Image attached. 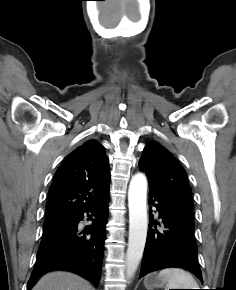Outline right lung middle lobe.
Masks as SVG:
<instances>
[{
	"instance_id": "1",
	"label": "right lung middle lobe",
	"mask_w": 236,
	"mask_h": 290,
	"mask_svg": "<svg viewBox=\"0 0 236 290\" xmlns=\"http://www.w3.org/2000/svg\"><path fill=\"white\" fill-rule=\"evenodd\" d=\"M66 219H47V220H45V222L43 224V229H47L55 224H58L62 221H65Z\"/></svg>"
}]
</instances>
